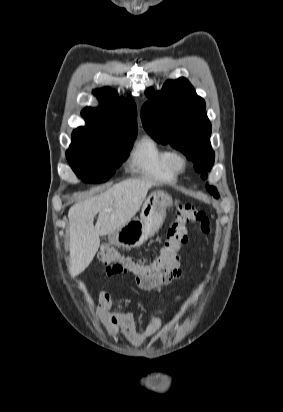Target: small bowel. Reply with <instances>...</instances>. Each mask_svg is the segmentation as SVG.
<instances>
[{"label": "small bowel", "instance_id": "c3829d8e", "mask_svg": "<svg viewBox=\"0 0 283 412\" xmlns=\"http://www.w3.org/2000/svg\"><path fill=\"white\" fill-rule=\"evenodd\" d=\"M181 270L179 256L176 255L171 269L157 280L135 274V283L142 290H151L158 286L169 284L180 278ZM97 319L110 334L122 333L133 343H140L145 338L156 335L162 328V322L157 316H150L148 323L139 327L134 312L125 310H112V299L106 290L98 294Z\"/></svg>", "mask_w": 283, "mask_h": 412}]
</instances>
